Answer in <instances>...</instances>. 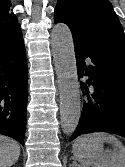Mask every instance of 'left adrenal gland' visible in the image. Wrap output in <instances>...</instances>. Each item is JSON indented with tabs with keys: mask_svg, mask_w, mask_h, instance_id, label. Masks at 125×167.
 Returning a JSON list of instances; mask_svg holds the SVG:
<instances>
[{
	"mask_svg": "<svg viewBox=\"0 0 125 167\" xmlns=\"http://www.w3.org/2000/svg\"><path fill=\"white\" fill-rule=\"evenodd\" d=\"M73 166H74V164H71V165H70V167H73Z\"/></svg>",
	"mask_w": 125,
	"mask_h": 167,
	"instance_id": "obj_1",
	"label": "left adrenal gland"
}]
</instances>
